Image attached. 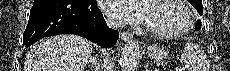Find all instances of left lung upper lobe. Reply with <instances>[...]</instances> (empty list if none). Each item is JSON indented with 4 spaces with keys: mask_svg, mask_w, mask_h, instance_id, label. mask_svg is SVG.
I'll use <instances>...</instances> for the list:
<instances>
[{
    "mask_svg": "<svg viewBox=\"0 0 230 71\" xmlns=\"http://www.w3.org/2000/svg\"><path fill=\"white\" fill-rule=\"evenodd\" d=\"M198 11L200 15L203 14V5H202V0H188Z\"/></svg>",
    "mask_w": 230,
    "mask_h": 71,
    "instance_id": "left-lung-upper-lobe-1",
    "label": "left lung upper lobe"
}]
</instances>
